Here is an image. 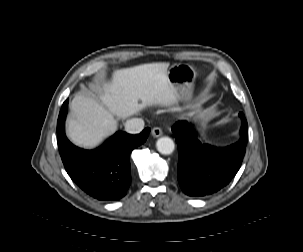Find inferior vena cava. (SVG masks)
I'll list each match as a JSON object with an SVG mask.
<instances>
[{
  "label": "inferior vena cava",
  "mask_w": 303,
  "mask_h": 252,
  "mask_svg": "<svg viewBox=\"0 0 303 252\" xmlns=\"http://www.w3.org/2000/svg\"><path fill=\"white\" fill-rule=\"evenodd\" d=\"M144 128V121L141 118H132L125 122V130L130 134L140 133Z\"/></svg>",
  "instance_id": "1"
}]
</instances>
